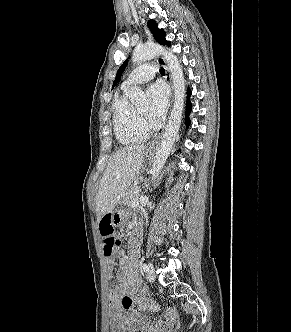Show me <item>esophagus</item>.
<instances>
[{"instance_id":"34e87169","label":"esophagus","mask_w":291,"mask_h":332,"mask_svg":"<svg viewBox=\"0 0 291 332\" xmlns=\"http://www.w3.org/2000/svg\"><path fill=\"white\" fill-rule=\"evenodd\" d=\"M158 63H160L161 65L164 66L165 70H166V81L169 84V86L171 87V104L173 102V97H174V88H173V82H172V77H171V73L169 70V67L167 65V62L165 61V59L163 57H158L157 58ZM159 139L160 137L156 138L155 140H153L152 142L149 143L148 147L149 148H154L158 145L159 143Z\"/></svg>"}]
</instances>
